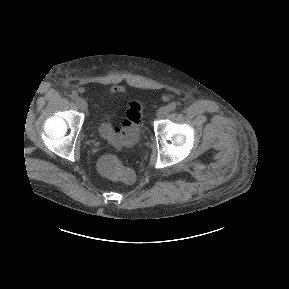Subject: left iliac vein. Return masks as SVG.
I'll list each match as a JSON object with an SVG mask.
<instances>
[{
    "label": "left iliac vein",
    "mask_w": 289,
    "mask_h": 289,
    "mask_svg": "<svg viewBox=\"0 0 289 289\" xmlns=\"http://www.w3.org/2000/svg\"><path fill=\"white\" fill-rule=\"evenodd\" d=\"M170 111H169V108H168V106H162V107H160L159 109H158V111H157V113H156V116H157V118H163V117H165L166 115H168V113H169Z\"/></svg>",
    "instance_id": "obj_1"
}]
</instances>
